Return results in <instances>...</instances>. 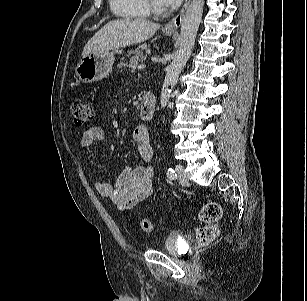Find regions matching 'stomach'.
Instances as JSON below:
<instances>
[{"mask_svg": "<svg viewBox=\"0 0 307 301\" xmlns=\"http://www.w3.org/2000/svg\"><path fill=\"white\" fill-rule=\"evenodd\" d=\"M165 34L171 35L172 32L167 31ZM114 60L113 51L87 55L77 64L75 69L76 76L84 83L102 80L111 72Z\"/></svg>", "mask_w": 307, "mask_h": 301, "instance_id": "1", "label": "stomach"}]
</instances>
